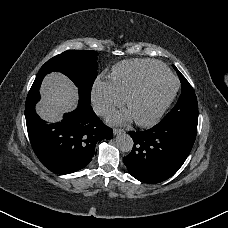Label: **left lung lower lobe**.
Masks as SVG:
<instances>
[{"instance_id":"left-lung-lower-lobe-1","label":"left lung lower lobe","mask_w":228,"mask_h":228,"mask_svg":"<svg viewBox=\"0 0 228 228\" xmlns=\"http://www.w3.org/2000/svg\"><path fill=\"white\" fill-rule=\"evenodd\" d=\"M197 127L191 125L154 127L130 131L134 146L123 161L129 173L145 183H159L183 165L195 142Z\"/></svg>"}]
</instances>
